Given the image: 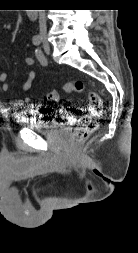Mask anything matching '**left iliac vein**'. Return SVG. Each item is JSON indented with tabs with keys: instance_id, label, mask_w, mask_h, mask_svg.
<instances>
[{
	"instance_id": "obj_1",
	"label": "left iliac vein",
	"mask_w": 138,
	"mask_h": 253,
	"mask_svg": "<svg viewBox=\"0 0 138 253\" xmlns=\"http://www.w3.org/2000/svg\"><path fill=\"white\" fill-rule=\"evenodd\" d=\"M44 51L46 54L50 53V46L47 42H45V44H44Z\"/></svg>"
}]
</instances>
